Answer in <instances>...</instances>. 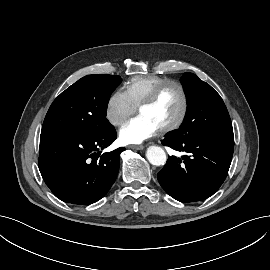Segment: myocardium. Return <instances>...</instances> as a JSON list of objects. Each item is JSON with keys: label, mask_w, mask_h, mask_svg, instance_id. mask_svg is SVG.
Listing matches in <instances>:
<instances>
[{"label": "myocardium", "mask_w": 270, "mask_h": 270, "mask_svg": "<svg viewBox=\"0 0 270 270\" xmlns=\"http://www.w3.org/2000/svg\"><path fill=\"white\" fill-rule=\"evenodd\" d=\"M176 86L181 94V98H182V107H181V112L179 117L172 123L169 124L165 127H162L161 129H159V131L161 133H169V132H173L177 129H179L183 123L186 120L187 114H188V109H189V99H188V94L187 91L184 87V85L177 81V80H166L160 84H158L151 92L150 94L146 97V99L139 105V111L145 107L151 106L152 104H154L156 102V100L158 99L159 95L161 94V92L168 86Z\"/></svg>", "instance_id": "f54148a6"}]
</instances>
